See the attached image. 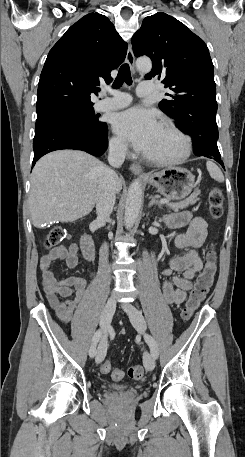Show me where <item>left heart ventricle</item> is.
<instances>
[{"mask_svg": "<svg viewBox=\"0 0 245 457\" xmlns=\"http://www.w3.org/2000/svg\"><path fill=\"white\" fill-rule=\"evenodd\" d=\"M180 144L178 137L160 128L155 140L144 150V153L153 156L175 154L179 151Z\"/></svg>", "mask_w": 245, "mask_h": 457, "instance_id": "left-heart-ventricle-1", "label": "left heart ventricle"}]
</instances>
